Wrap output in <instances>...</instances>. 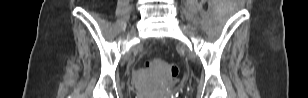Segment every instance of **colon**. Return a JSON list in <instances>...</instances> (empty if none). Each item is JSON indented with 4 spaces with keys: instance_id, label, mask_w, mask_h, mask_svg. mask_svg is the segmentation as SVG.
I'll return each instance as SVG.
<instances>
[{
    "instance_id": "colon-1",
    "label": "colon",
    "mask_w": 308,
    "mask_h": 98,
    "mask_svg": "<svg viewBox=\"0 0 308 98\" xmlns=\"http://www.w3.org/2000/svg\"><path fill=\"white\" fill-rule=\"evenodd\" d=\"M146 67L150 70L163 73L168 78L173 79L178 75V67L162 59H152L146 62Z\"/></svg>"
}]
</instances>
